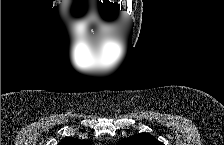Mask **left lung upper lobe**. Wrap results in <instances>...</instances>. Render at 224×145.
Segmentation results:
<instances>
[{"instance_id":"1","label":"left lung upper lobe","mask_w":224,"mask_h":145,"mask_svg":"<svg viewBox=\"0 0 224 145\" xmlns=\"http://www.w3.org/2000/svg\"><path fill=\"white\" fill-rule=\"evenodd\" d=\"M118 145H163L148 133H140L121 140Z\"/></svg>"}]
</instances>
